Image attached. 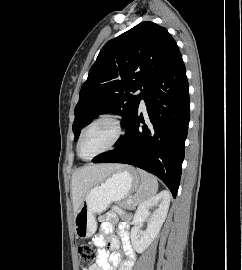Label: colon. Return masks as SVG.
Listing matches in <instances>:
<instances>
[{
  "label": "colon",
  "instance_id": "1",
  "mask_svg": "<svg viewBox=\"0 0 242 270\" xmlns=\"http://www.w3.org/2000/svg\"><path fill=\"white\" fill-rule=\"evenodd\" d=\"M78 253L80 258L79 263L82 270L98 260V252L90 245L84 244L79 246Z\"/></svg>",
  "mask_w": 242,
  "mask_h": 270
}]
</instances>
